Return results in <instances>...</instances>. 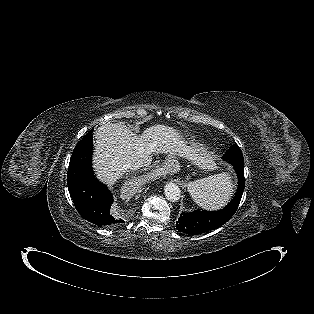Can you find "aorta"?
I'll list each match as a JSON object with an SVG mask.
<instances>
[{
  "label": "aorta",
  "mask_w": 314,
  "mask_h": 314,
  "mask_svg": "<svg viewBox=\"0 0 314 314\" xmlns=\"http://www.w3.org/2000/svg\"><path fill=\"white\" fill-rule=\"evenodd\" d=\"M164 194L169 201L177 202L181 196V190L177 184L169 182L164 186Z\"/></svg>",
  "instance_id": "obj_1"
}]
</instances>
